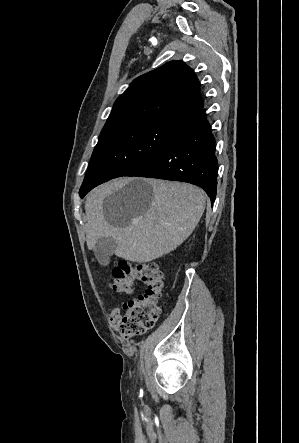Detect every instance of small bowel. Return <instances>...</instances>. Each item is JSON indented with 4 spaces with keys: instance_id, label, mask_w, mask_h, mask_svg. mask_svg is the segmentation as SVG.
<instances>
[{
    "instance_id": "obj_1",
    "label": "small bowel",
    "mask_w": 299,
    "mask_h": 443,
    "mask_svg": "<svg viewBox=\"0 0 299 443\" xmlns=\"http://www.w3.org/2000/svg\"><path fill=\"white\" fill-rule=\"evenodd\" d=\"M110 323L112 325L113 328H118L120 326L121 323V314L114 310L111 312L110 314Z\"/></svg>"
}]
</instances>
